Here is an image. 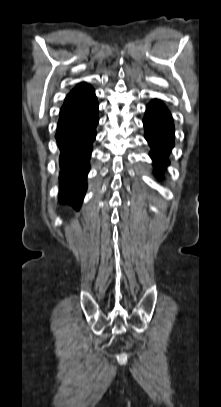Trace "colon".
<instances>
[{
    "mask_svg": "<svg viewBox=\"0 0 221 407\" xmlns=\"http://www.w3.org/2000/svg\"><path fill=\"white\" fill-rule=\"evenodd\" d=\"M126 347H127V348H130V347H131V343L128 342V343L126 344Z\"/></svg>",
    "mask_w": 221,
    "mask_h": 407,
    "instance_id": "colon-1",
    "label": "colon"
}]
</instances>
